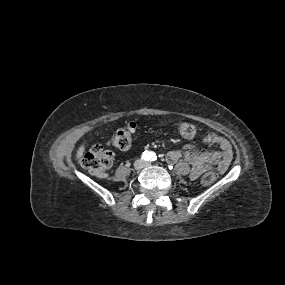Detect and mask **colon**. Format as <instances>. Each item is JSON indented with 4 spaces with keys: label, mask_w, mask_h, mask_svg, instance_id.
<instances>
[{
    "label": "colon",
    "mask_w": 285,
    "mask_h": 285,
    "mask_svg": "<svg viewBox=\"0 0 285 285\" xmlns=\"http://www.w3.org/2000/svg\"><path fill=\"white\" fill-rule=\"evenodd\" d=\"M136 125L130 122L125 127L119 128L110 143L118 149L125 150L131 145L133 133ZM178 131L185 139H192L197 134L196 126L189 121H180L178 123ZM113 161V155L106 150L102 145L96 144L92 146L83 156L81 164L82 167L88 170L96 177L103 178L107 175ZM218 175L216 172L208 171L201 177V182L204 185L214 183Z\"/></svg>",
    "instance_id": "obj_1"
}]
</instances>
